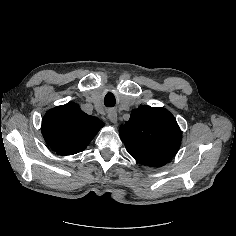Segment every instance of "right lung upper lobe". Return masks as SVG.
I'll return each instance as SVG.
<instances>
[{"label": "right lung upper lobe", "instance_id": "right-lung-upper-lobe-1", "mask_svg": "<svg viewBox=\"0 0 236 236\" xmlns=\"http://www.w3.org/2000/svg\"><path fill=\"white\" fill-rule=\"evenodd\" d=\"M104 126L94 116L70 102L49 110L42 119V134L47 144L60 155L82 152Z\"/></svg>", "mask_w": 236, "mask_h": 236}]
</instances>
